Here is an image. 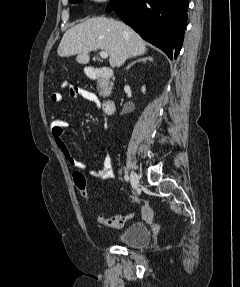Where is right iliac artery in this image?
Returning a JSON list of instances; mask_svg holds the SVG:
<instances>
[{
	"label": "right iliac artery",
	"mask_w": 240,
	"mask_h": 287,
	"mask_svg": "<svg viewBox=\"0 0 240 287\" xmlns=\"http://www.w3.org/2000/svg\"><path fill=\"white\" fill-rule=\"evenodd\" d=\"M124 179H125L126 182H128V181H129V176L126 174V175L124 176Z\"/></svg>",
	"instance_id": "right-iliac-artery-1"
}]
</instances>
